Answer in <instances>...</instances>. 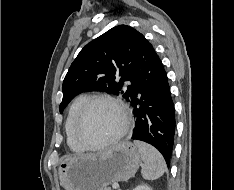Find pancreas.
<instances>
[{
  "instance_id": "pancreas-1",
  "label": "pancreas",
  "mask_w": 234,
  "mask_h": 190,
  "mask_svg": "<svg viewBox=\"0 0 234 190\" xmlns=\"http://www.w3.org/2000/svg\"><path fill=\"white\" fill-rule=\"evenodd\" d=\"M105 190H111L110 188H106Z\"/></svg>"
}]
</instances>
